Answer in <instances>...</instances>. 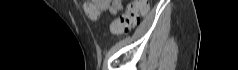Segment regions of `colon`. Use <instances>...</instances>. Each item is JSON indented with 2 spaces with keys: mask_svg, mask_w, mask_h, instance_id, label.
Here are the masks:
<instances>
[{
  "mask_svg": "<svg viewBox=\"0 0 238 70\" xmlns=\"http://www.w3.org/2000/svg\"><path fill=\"white\" fill-rule=\"evenodd\" d=\"M148 10L147 0H135L129 3L126 12L114 21L112 30L115 33L132 31L140 21V14H145ZM90 15L96 17V12L89 8Z\"/></svg>",
  "mask_w": 238,
  "mask_h": 70,
  "instance_id": "5ec220e1",
  "label": "colon"
}]
</instances>
